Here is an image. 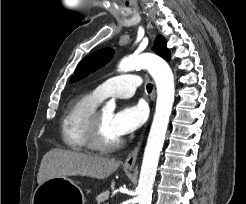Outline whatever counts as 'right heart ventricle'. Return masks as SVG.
Here are the masks:
<instances>
[{
    "label": "right heart ventricle",
    "mask_w": 246,
    "mask_h": 204,
    "mask_svg": "<svg viewBox=\"0 0 246 204\" xmlns=\"http://www.w3.org/2000/svg\"><path fill=\"white\" fill-rule=\"evenodd\" d=\"M99 102L93 93L80 95L70 102L62 120V139L68 148L90 149L87 132Z\"/></svg>",
    "instance_id": "1"
}]
</instances>
